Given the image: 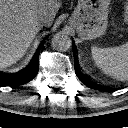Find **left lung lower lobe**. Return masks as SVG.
I'll use <instances>...</instances> for the list:
<instances>
[{
	"label": "left lung lower lobe",
	"instance_id": "left-lung-lower-lobe-1",
	"mask_svg": "<svg viewBox=\"0 0 128 128\" xmlns=\"http://www.w3.org/2000/svg\"><path fill=\"white\" fill-rule=\"evenodd\" d=\"M73 54H74L75 72H76V75L78 76V78L81 80L82 83H84L86 86H88L89 88H92V89L105 90V91H110L111 90L109 87L95 84L94 82L90 81L84 74H82L79 71V68H78V65H77V57H76V54H75L74 50H73Z\"/></svg>",
	"mask_w": 128,
	"mask_h": 128
}]
</instances>
